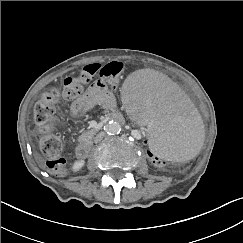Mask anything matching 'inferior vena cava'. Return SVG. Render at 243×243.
<instances>
[{"label": "inferior vena cava", "mask_w": 243, "mask_h": 243, "mask_svg": "<svg viewBox=\"0 0 243 243\" xmlns=\"http://www.w3.org/2000/svg\"><path fill=\"white\" fill-rule=\"evenodd\" d=\"M105 136V132H99L96 137L94 138V142L98 143L99 141H101Z\"/></svg>", "instance_id": "inferior-vena-cava-1"}]
</instances>
